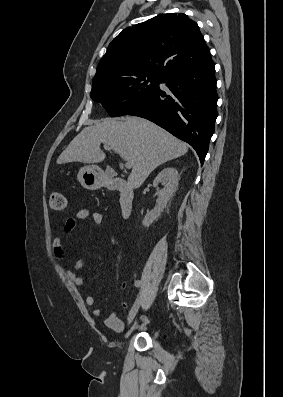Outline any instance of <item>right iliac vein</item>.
I'll list each match as a JSON object with an SVG mask.
<instances>
[{"instance_id": "1", "label": "right iliac vein", "mask_w": 283, "mask_h": 397, "mask_svg": "<svg viewBox=\"0 0 283 397\" xmlns=\"http://www.w3.org/2000/svg\"><path fill=\"white\" fill-rule=\"evenodd\" d=\"M139 307H140V300L138 299V303H137V305H133V307H132V309H131V311H130V313H129V316H128V325L129 324H131V322L133 321V319L135 318V316H136V314H137V312H138V310H139Z\"/></svg>"}]
</instances>
